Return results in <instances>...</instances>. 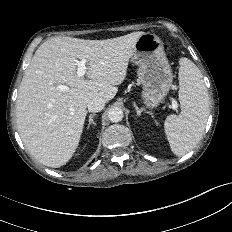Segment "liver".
Returning <instances> with one entry per match:
<instances>
[{
  "label": "liver",
  "mask_w": 232,
  "mask_h": 232,
  "mask_svg": "<svg viewBox=\"0 0 232 232\" xmlns=\"http://www.w3.org/2000/svg\"><path fill=\"white\" fill-rule=\"evenodd\" d=\"M138 31L105 40L54 37L42 43L27 67L16 102L17 128L30 154L48 167H61L78 147L89 101L116 95L140 36ZM77 59H86L78 77ZM67 86L61 91L58 86Z\"/></svg>",
  "instance_id": "6515ba94"
}]
</instances>
